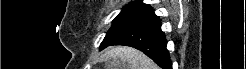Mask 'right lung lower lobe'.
I'll return each mask as SVG.
<instances>
[{"label": "right lung lower lobe", "instance_id": "98d812e1", "mask_svg": "<svg viewBox=\"0 0 246 69\" xmlns=\"http://www.w3.org/2000/svg\"><path fill=\"white\" fill-rule=\"evenodd\" d=\"M166 39L161 31V22L153 10L143 16V21L127 30L108 46L125 45L134 47L157 63L162 69H172Z\"/></svg>", "mask_w": 246, "mask_h": 69}]
</instances>
